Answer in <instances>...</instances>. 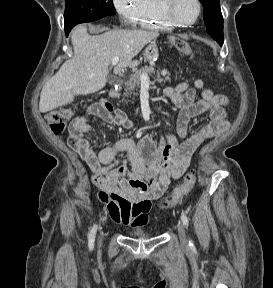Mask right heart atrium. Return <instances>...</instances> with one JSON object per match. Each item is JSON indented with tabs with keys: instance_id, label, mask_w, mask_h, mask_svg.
<instances>
[{
	"instance_id": "1",
	"label": "right heart atrium",
	"mask_w": 273,
	"mask_h": 288,
	"mask_svg": "<svg viewBox=\"0 0 273 288\" xmlns=\"http://www.w3.org/2000/svg\"><path fill=\"white\" fill-rule=\"evenodd\" d=\"M114 8L122 22L134 24L141 0H112Z\"/></svg>"
}]
</instances>
